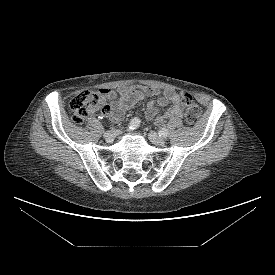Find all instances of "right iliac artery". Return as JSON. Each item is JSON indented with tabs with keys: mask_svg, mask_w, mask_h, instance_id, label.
I'll use <instances>...</instances> for the list:
<instances>
[{
	"mask_svg": "<svg viewBox=\"0 0 275 275\" xmlns=\"http://www.w3.org/2000/svg\"><path fill=\"white\" fill-rule=\"evenodd\" d=\"M99 118L102 119L103 117L99 116ZM139 126H140V119L135 117L130 121L128 128H129V130L132 131V130L137 129Z\"/></svg>",
	"mask_w": 275,
	"mask_h": 275,
	"instance_id": "right-iliac-artery-1",
	"label": "right iliac artery"
}]
</instances>
